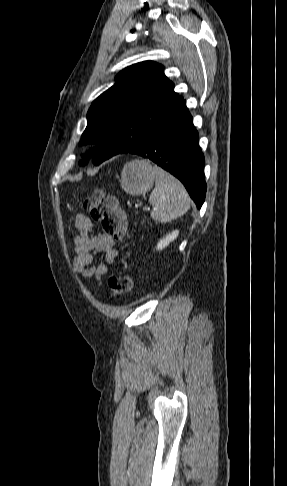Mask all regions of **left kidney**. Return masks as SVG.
I'll return each mask as SVG.
<instances>
[{"mask_svg":"<svg viewBox=\"0 0 287 486\" xmlns=\"http://www.w3.org/2000/svg\"><path fill=\"white\" fill-rule=\"evenodd\" d=\"M178 235H179L178 230L172 231L171 233L167 234L166 237H164L158 242L156 249L163 250L165 247L169 245L170 242L174 241L178 237Z\"/></svg>","mask_w":287,"mask_h":486,"instance_id":"left-kidney-1","label":"left kidney"}]
</instances>
